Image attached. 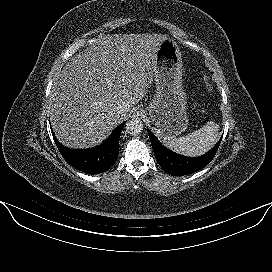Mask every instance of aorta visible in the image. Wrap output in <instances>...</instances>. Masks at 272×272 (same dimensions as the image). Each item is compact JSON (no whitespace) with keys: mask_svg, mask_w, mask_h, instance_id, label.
I'll return each instance as SVG.
<instances>
[{"mask_svg":"<svg viewBox=\"0 0 272 272\" xmlns=\"http://www.w3.org/2000/svg\"><path fill=\"white\" fill-rule=\"evenodd\" d=\"M126 132L131 135H138L143 130V123L139 119H131L126 123Z\"/></svg>","mask_w":272,"mask_h":272,"instance_id":"762f6f07","label":"aorta"}]
</instances>
